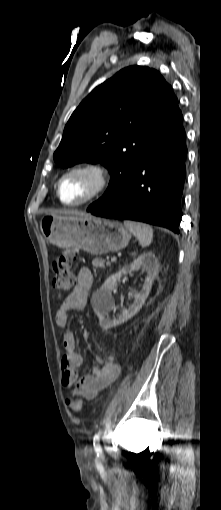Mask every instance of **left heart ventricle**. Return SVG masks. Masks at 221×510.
<instances>
[{"instance_id": "1", "label": "left heart ventricle", "mask_w": 221, "mask_h": 510, "mask_svg": "<svg viewBox=\"0 0 221 510\" xmlns=\"http://www.w3.org/2000/svg\"><path fill=\"white\" fill-rule=\"evenodd\" d=\"M93 178L88 174H74L62 185V198L66 202H76L86 197L93 188Z\"/></svg>"}]
</instances>
